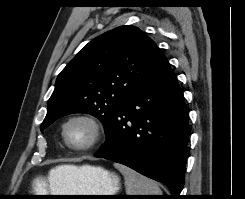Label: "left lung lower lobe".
Segmentation results:
<instances>
[{
  "label": "left lung lower lobe",
  "mask_w": 245,
  "mask_h": 199,
  "mask_svg": "<svg viewBox=\"0 0 245 199\" xmlns=\"http://www.w3.org/2000/svg\"><path fill=\"white\" fill-rule=\"evenodd\" d=\"M97 158L126 165L167 185L180 199L190 128L183 92L163 55L149 78L114 111Z\"/></svg>",
  "instance_id": "obj_1"
}]
</instances>
